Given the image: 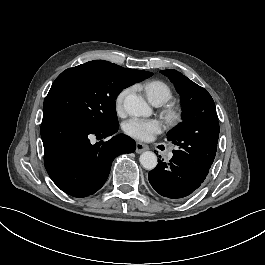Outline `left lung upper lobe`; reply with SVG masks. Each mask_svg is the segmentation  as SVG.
<instances>
[{
  "instance_id": "5c2ea615",
  "label": "left lung upper lobe",
  "mask_w": 265,
  "mask_h": 265,
  "mask_svg": "<svg viewBox=\"0 0 265 265\" xmlns=\"http://www.w3.org/2000/svg\"><path fill=\"white\" fill-rule=\"evenodd\" d=\"M182 100V123L167 133L168 141L179 147L173 150L187 164L200 171L209 172L217 150L219 124L211 95L176 70H163Z\"/></svg>"
}]
</instances>
